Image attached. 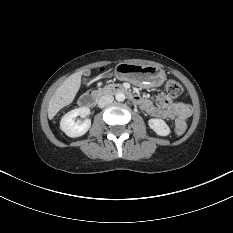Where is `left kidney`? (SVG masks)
I'll return each instance as SVG.
<instances>
[{
  "label": "left kidney",
  "instance_id": "obj_1",
  "mask_svg": "<svg viewBox=\"0 0 233 233\" xmlns=\"http://www.w3.org/2000/svg\"><path fill=\"white\" fill-rule=\"evenodd\" d=\"M148 125L159 136H167L170 134L169 126L162 119H150Z\"/></svg>",
  "mask_w": 233,
  "mask_h": 233
}]
</instances>
